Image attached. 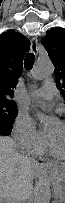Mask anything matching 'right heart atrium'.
<instances>
[{
  "label": "right heart atrium",
  "mask_w": 65,
  "mask_h": 203,
  "mask_svg": "<svg viewBox=\"0 0 65 203\" xmlns=\"http://www.w3.org/2000/svg\"><path fill=\"white\" fill-rule=\"evenodd\" d=\"M13 134L18 147L28 153L42 147L46 142L45 138L35 128L32 120L24 113L18 115Z\"/></svg>",
  "instance_id": "obj_1"
}]
</instances>
